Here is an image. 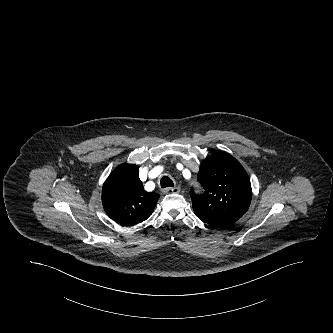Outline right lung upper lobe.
Listing matches in <instances>:
<instances>
[{"label":"right lung upper lobe","mask_w":333,"mask_h":333,"mask_svg":"<svg viewBox=\"0 0 333 333\" xmlns=\"http://www.w3.org/2000/svg\"><path fill=\"white\" fill-rule=\"evenodd\" d=\"M138 169L137 165H120L110 174L102 189L105 212L124 226L146 220L160 197L155 192L144 190Z\"/></svg>","instance_id":"right-lung-upper-lobe-1"}]
</instances>
